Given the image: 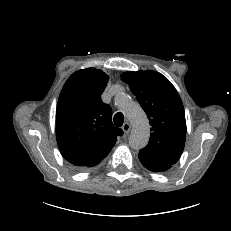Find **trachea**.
I'll use <instances>...</instances> for the list:
<instances>
[{
	"label": "trachea",
	"mask_w": 231,
	"mask_h": 231,
	"mask_svg": "<svg viewBox=\"0 0 231 231\" xmlns=\"http://www.w3.org/2000/svg\"><path fill=\"white\" fill-rule=\"evenodd\" d=\"M123 122H124V116L122 113H116L114 115V124L117 126V127H121L123 125Z\"/></svg>",
	"instance_id": "trachea-1"
}]
</instances>
